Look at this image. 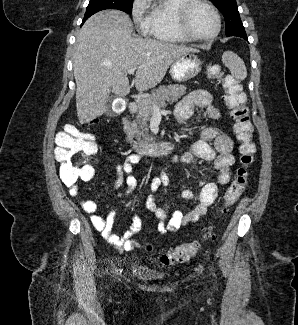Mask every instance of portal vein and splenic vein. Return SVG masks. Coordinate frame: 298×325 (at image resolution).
<instances>
[{"label":"portal vein and splenic vein","mask_w":298,"mask_h":325,"mask_svg":"<svg viewBox=\"0 0 298 325\" xmlns=\"http://www.w3.org/2000/svg\"><path fill=\"white\" fill-rule=\"evenodd\" d=\"M136 68H129V70H127L128 74H134ZM153 112L154 114H159V112H161V106H157V104H153Z\"/></svg>","instance_id":"portal-vein-and-splenic-vein-1"}]
</instances>
